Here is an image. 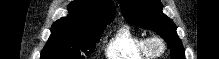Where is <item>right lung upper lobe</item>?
<instances>
[{
  "instance_id": "1",
  "label": "right lung upper lobe",
  "mask_w": 219,
  "mask_h": 59,
  "mask_svg": "<svg viewBox=\"0 0 219 59\" xmlns=\"http://www.w3.org/2000/svg\"><path fill=\"white\" fill-rule=\"evenodd\" d=\"M69 15L55 23L82 25L85 27L106 26L112 22L116 8L111 0H75L68 6Z\"/></svg>"
}]
</instances>
